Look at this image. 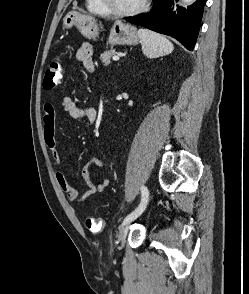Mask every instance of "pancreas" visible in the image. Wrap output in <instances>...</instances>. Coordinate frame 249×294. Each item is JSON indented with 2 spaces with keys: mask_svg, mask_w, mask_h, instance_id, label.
<instances>
[{
  "mask_svg": "<svg viewBox=\"0 0 249 294\" xmlns=\"http://www.w3.org/2000/svg\"><path fill=\"white\" fill-rule=\"evenodd\" d=\"M116 54L115 50L114 49H111L110 51H105L103 52L101 55H100V59L103 63L104 66H108L111 61H110V58L112 56H114Z\"/></svg>",
  "mask_w": 249,
  "mask_h": 294,
  "instance_id": "cf45deb5",
  "label": "pancreas"
}]
</instances>
